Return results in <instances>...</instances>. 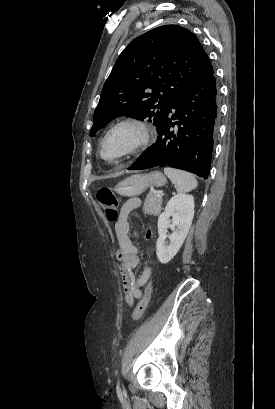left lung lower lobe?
Instances as JSON below:
<instances>
[{"label":"left lung lower lobe","mask_w":275,"mask_h":409,"mask_svg":"<svg viewBox=\"0 0 275 409\" xmlns=\"http://www.w3.org/2000/svg\"><path fill=\"white\" fill-rule=\"evenodd\" d=\"M218 120V87L212 69L184 89L157 128L156 143L128 169L169 166L207 179Z\"/></svg>","instance_id":"0a47b994"}]
</instances>
